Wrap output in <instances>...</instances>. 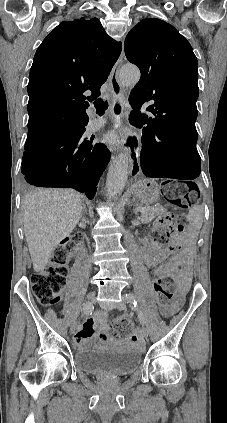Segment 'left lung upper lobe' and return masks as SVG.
<instances>
[{
	"mask_svg": "<svg viewBox=\"0 0 227 423\" xmlns=\"http://www.w3.org/2000/svg\"><path fill=\"white\" fill-rule=\"evenodd\" d=\"M129 62L141 71L129 103L133 110L197 117L198 63L189 42L170 24L144 19L125 39Z\"/></svg>",
	"mask_w": 227,
	"mask_h": 423,
	"instance_id": "1",
	"label": "left lung upper lobe"
}]
</instances>
